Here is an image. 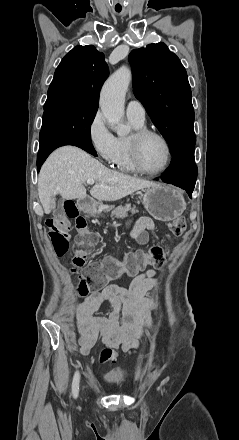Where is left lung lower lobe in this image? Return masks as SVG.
Wrapping results in <instances>:
<instances>
[{"mask_svg": "<svg viewBox=\"0 0 239 440\" xmlns=\"http://www.w3.org/2000/svg\"><path fill=\"white\" fill-rule=\"evenodd\" d=\"M195 142L186 143L172 153L169 170L161 177L163 182L185 189L190 197L197 178V166L194 161Z\"/></svg>", "mask_w": 239, "mask_h": 440, "instance_id": "obj_1", "label": "left lung lower lobe"}]
</instances>
